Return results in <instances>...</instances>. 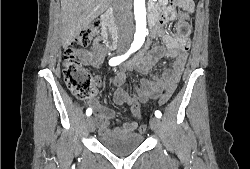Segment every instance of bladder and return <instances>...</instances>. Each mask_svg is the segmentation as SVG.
Returning <instances> with one entry per match:
<instances>
[{"instance_id": "1", "label": "bladder", "mask_w": 250, "mask_h": 169, "mask_svg": "<svg viewBox=\"0 0 250 169\" xmlns=\"http://www.w3.org/2000/svg\"><path fill=\"white\" fill-rule=\"evenodd\" d=\"M143 134L137 133H99V143L118 157H127L137 151L144 141Z\"/></svg>"}]
</instances>
